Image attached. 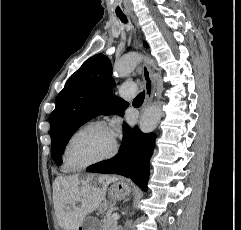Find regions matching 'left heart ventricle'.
<instances>
[{"mask_svg":"<svg viewBox=\"0 0 241 230\" xmlns=\"http://www.w3.org/2000/svg\"><path fill=\"white\" fill-rule=\"evenodd\" d=\"M114 137L109 129L94 127L80 133L72 142L69 160L81 165L107 155L113 148Z\"/></svg>","mask_w":241,"mask_h":230,"instance_id":"obj_1","label":"left heart ventricle"}]
</instances>
